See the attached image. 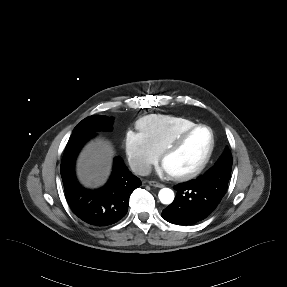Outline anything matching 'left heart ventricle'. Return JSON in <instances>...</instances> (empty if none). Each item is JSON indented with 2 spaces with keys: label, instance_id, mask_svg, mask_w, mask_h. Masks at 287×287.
<instances>
[{
  "label": "left heart ventricle",
  "instance_id": "b2bd125f",
  "mask_svg": "<svg viewBox=\"0 0 287 287\" xmlns=\"http://www.w3.org/2000/svg\"><path fill=\"white\" fill-rule=\"evenodd\" d=\"M211 142L205 128L194 131L184 143L167 156L163 165L168 174H182L195 169L206 155Z\"/></svg>",
  "mask_w": 287,
  "mask_h": 287
}]
</instances>
